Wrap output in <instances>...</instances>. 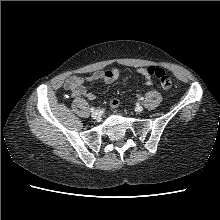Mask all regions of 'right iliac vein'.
Listing matches in <instances>:
<instances>
[{"label":"right iliac vein","mask_w":220,"mask_h":220,"mask_svg":"<svg viewBox=\"0 0 220 220\" xmlns=\"http://www.w3.org/2000/svg\"><path fill=\"white\" fill-rule=\"evenodd\" d=\"M92 118L98 120L100 118V113L98 111H94L92 113Z\"/></svg>","instance_id":"1"}]
</instances>
